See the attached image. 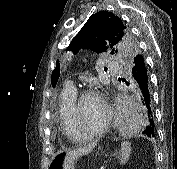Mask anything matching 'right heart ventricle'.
<instances>
[{
  "label": "right heart ventricle",
  "instance_id": "1",
  "mask_svg": "<svg viewBox=\"0 0 177 169\" xmlns=\"http://www.w3.org/2000/svg\"><path fill=\"white\" fill-rule=\"evenodd\" d=\"M76 96L77 90L66 85L60 94L58 104V115L62 132L71 141H78L75 137L71 119V107Z\"/></svg>",
  "mask_w": 177,
  "mask_h": 169
}]
</instances>
